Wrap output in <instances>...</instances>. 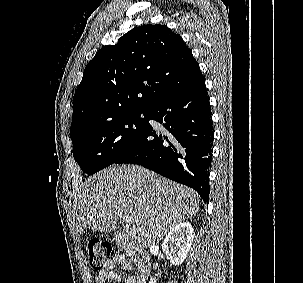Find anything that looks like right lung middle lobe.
<instances>
[{"mask_svg":"<svg viewBox=\"0 0 303 283\" xmlns=\"http://www.w3.org/2000/svg\"><path fill=\"white\" fill-rule=\"evenodd\" d=\"M148 111H134L70 134L73 156L88 175L127 153L148 126Z\"/></svg>","mask_w":303,"mask_h":283,"instance_id":"obj_1","label":"right lung middle lobe"}]
</instances>
